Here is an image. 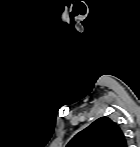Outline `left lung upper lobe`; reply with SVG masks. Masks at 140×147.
<instances>
[{"instance_id":"obj_1","label":"left lung upper lobe","mask_w":140,"mask_h":147,"mask_svg":"<svg viewBox=\"0 0 140 147\" xmlns=\"http://www.w3.org/2000/svg\"><path fill=\"white\" fill-rule=\"evenodd\" d=\"M67 147H127V140L117 123L101 117L76 134Z\"/></svg>"}]
</instances>
